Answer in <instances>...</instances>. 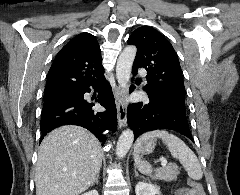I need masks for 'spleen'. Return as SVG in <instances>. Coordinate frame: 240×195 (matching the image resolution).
<instances>
[{"label":"spleen","instance_id":"1","mask_svg":"<svg viewBox=\"0 0 240 195\" xmlns=\"http://www.w3.org/2000/svg\"><path fill=\"white\" fill-rule=\"evenodd\" d=\"M149 137H161L166 147H168L171 155H173V157H177L183 167H185L189 177H191V179H201L203 171L201 169V163L199 159H197L194 151H192V149H190V147H188V145H186L180 137L173 135V133H168L165 129L147 131V133H142V135L138 137L134 147V161L136 167H138L141 173L150 175L153 171L152 165H150L149 161H143L137 151L139 141H144V139H149Z\"/></svg>","mask_w":240,"mask_h":195}]
</instances>
